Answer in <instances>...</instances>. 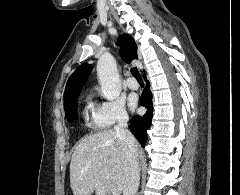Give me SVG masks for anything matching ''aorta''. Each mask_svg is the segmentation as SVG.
Segmentation results:
<instances>
[{
	"label": "aorta",
	"mask_w": 240,
	"mask_h": 195,
	"mask_svg": "<svg viewBox=\"0 0 240 195\" xmlns=\"http://www.w3.org/2000/svg\"><path fill=\"white\" fill-rule=\"evenodd\" d=\"M97 78L106 99L119 98L121 82L115 58L111 54H103L97 62Z\"/></svg>",
	"instance_id": "obj_1"
}]
</instances>
